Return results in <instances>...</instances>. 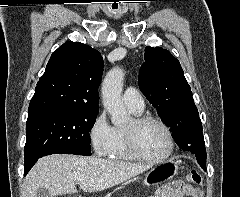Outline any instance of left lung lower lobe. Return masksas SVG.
I'll list each match as a JSON object with an SVG mask.
<instances>
[{
	"label": "left lung lower lobe",
	"mask_w": 240,
	"mask_h": 197,
	"mask_svg": "<svg viewBox=\"0 0 240 197\" xmlns=\"http://www.w3.org/2000/svg\"><path fill=\"white\" fill-rule=\"evenodd\" d=\"M190 130H192L193 132L196 131V129H193V128H191ZM183 131H184V133H183L184 135H189V133H191V131L186 130V129H184ZM180 137H183V135H181ZM197 161L200 164V166L203 168V170L206 171V160L197 159Z\"/></svg>",
	"instance_id": "1"
}]
</instances>
